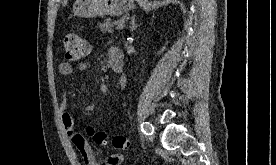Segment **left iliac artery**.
<instances>
[{"instance_id":"left-iliac-artery-1","label":"left iliac artery","mask_w":276,"mask_h":165,"mask_svg":"<svg viewBox=\"0 0 276 165\" xmlns=\"http://www.w3.org/2000/svg\"><path fill=\"white\" fill-rule=\"evenodd\" d=\"M141 130L146 136H149L153 134L154 127L150 122H143L141 124Z\"/></svg>"}]
</instances>
